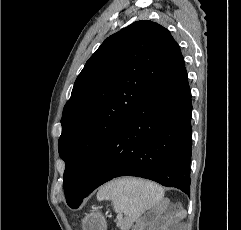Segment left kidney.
<instances>
[{
  "label": "left kidney",
  "instance_id": "left-kidney-1",
  "mask_svg": "<svg viewBox=\"0 0 241 230\" xmlns=\"http://www.w3.org/2000/svg\"><path fill=\"white\" fill-rule=\"evenodd\" d=\"M145 230L146 228L145 227H143L142 225H140V227L139 228H137L136 230Z\"/></svg>",
  "mask_w": 241,
  "mask_h": 230
}]
</instances>
